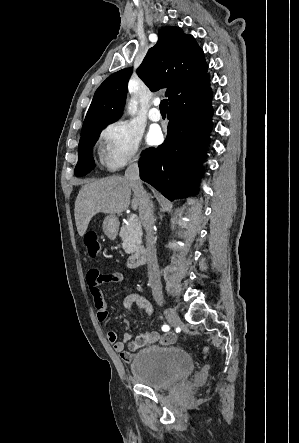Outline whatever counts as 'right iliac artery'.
<instances>
[{"mask_svg":"<svg viewBox=\"0 0 299 443\" xmlns=\"http://www.w3.org/2000/svg\"><path fill=\"white\" fill-rule=\"evenodd\" d=\"M169 329H170L169 325L165 324V325L162 326V330L163 331H169Z\"/></svg>","mask_w":299,"mask_h":443,"instance_id":"82829eb1","label":"right iliac artery"}]
</instances>
